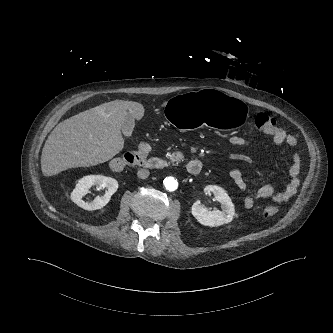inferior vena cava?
I'll list each match as a JSON object with an SVG mask.
<instances>
[{
    "label": "inferior vena cava",
    "instance_id": "inferior-vena-cava-1",
    "mask_svg": "<svg viewBox=\"0 0 333 333\" xmlns=\"http://www.w3.org/2000/svg\"><path fill=\"white\" fill-rule=\"evenodd\" d=\"M149 174L150 173H149V171L147 169H140L137 172V176L140 179H146V178H148Z\"/></svg>",
    "mask_w": 333,
    "mask_h": 333
}]
</instances>
